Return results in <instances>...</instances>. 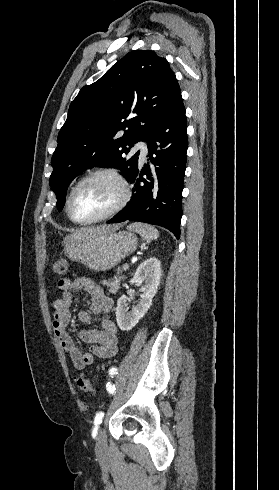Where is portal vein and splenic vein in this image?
Listing matches in <instances>:
<instances>
[{
    "mask_svg": "<svg viewBox=\"0 0 279 490\" xmlns=\"http://www.w3.org/2000/svg\"><path fill=\"white\" fill-rule=\"evenodd\" d=\"M135 260H137V258H135ZM123 270H128V264H124Z\"/></svg>",
    "mask_w": 279,
    "mask_h": 490,
    "instance_id": "18ae733b",
    "label": "portal vein and splenic vein"
}]
</instances>
